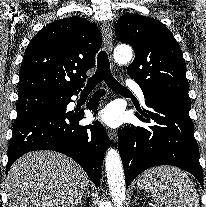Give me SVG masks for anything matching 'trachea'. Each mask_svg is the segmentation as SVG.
Wrapping results in <instances>:
<instances>
[{
	"instance_id": "obj_1",
	"label": "trachea",
	"mask_w": 206,
	"mask_h": 207,
	"mask_svg": "<svg viewBox=\"0 0 206 207\" xmlns=\"http://www.w3.org/2000/svg\"><path fill=\"white\" fill-rule=\"evenodd\" d=\"M108 85L110 89L118 93L130 94V91L122 86L112 75L110 70V62L106 51H101L97 57V71L96 73L88 80L87 85L84 88V91H92L95 86L102 81Z\"/></svg>"
}]
</instances>
